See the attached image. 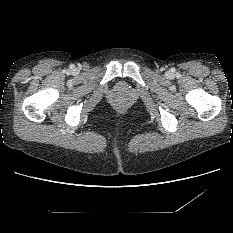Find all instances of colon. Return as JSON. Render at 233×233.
<instances>
[{"mask_svg": "<svg viewBox=\"0 0 233 233\" xmlns=\"http://www.w3.org/2000/svg\"><path fill=\"white\" fill-rule=\"evenodd\" d=\"M115 107L119 111H123L126 108V104L123 100H118L115 103Z\"/></svg>", "mask_w": 233, "mask_h": 233, "instance_id": "5ec220e1", "label": "colon"}]
</instances>
